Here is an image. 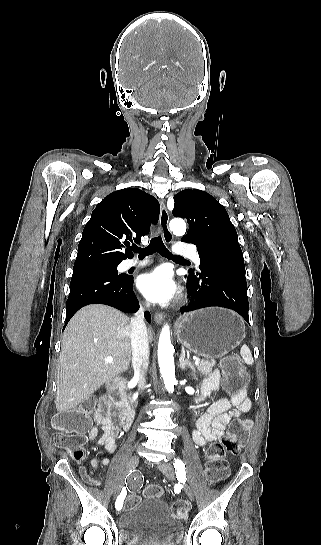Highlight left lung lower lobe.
Here are the masks:
<instances>
[{
    "mask_svg": "<svg viewBox=\"0 0 321 545\" xmlns=\"http://www.w3.org/2000/svg\"><path fill=\"white\" fill-rule=\"evenodd\" d=\"M201 273L190 271L186 282L191 300L181 313L218 306L232 309L248 323V297L243 253L237 239L197 247Z\"/></svg>",
    "mask_w": 321,
    "mask_h": 545,
    "instance_id": "0a47b994",
    "label": "left lung lower lobe"
}]
</instances>
